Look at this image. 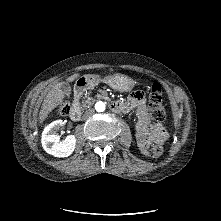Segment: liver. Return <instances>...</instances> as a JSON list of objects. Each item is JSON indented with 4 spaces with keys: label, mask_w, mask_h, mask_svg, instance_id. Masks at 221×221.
<instances>
[{
    "label": "liver",
    "mask_w": 221,
    "mask_h": 221,
    "mask_svg": "<svg viewBox=\"0 0 221 221\" xmlns=\"http://www.w3.org/2000/svg\"><path fill=\"white\" fill-rule=\"evenodd\" d=\"M80 75L74 74L70 76L67 81L72 82L77 79ZM63 82H58L54 84L51 89L48 91L46 97L43 100L41 105V109L39 112V121L43 123L44 120L48 117L50 112H52L57 106L63 103L65 98V93L61 89V85Z\"/></svg>",
    "instance_id": "6515ba94"
}]
</instances>
